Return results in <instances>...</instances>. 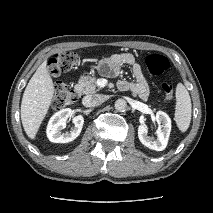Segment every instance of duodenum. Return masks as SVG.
<instances>
[{"mask_svg":"<svg viewBox=\"0 0 213 213\" xmlns=\"http://www.w3.org/2000/svg\"><path fill=\"white\" fill-rule=\"evenodd\" d=\"M75 92H76L77 94H79V93H80V89H76Z\"/></svg>","mask_w":213,"mask_h":213,"instance_id":"410a0bca","label":"duodenum"}]
</instances>
